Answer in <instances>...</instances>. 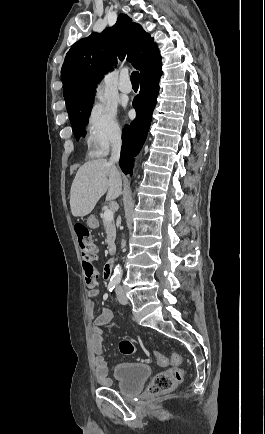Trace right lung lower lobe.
Here are the masks:
<instances>
[{
	"mask_svg": "<svg viewBox=\"0 0 265 434\" xmlns=\"http://www.w3.org/2000/svg\"><path fill=\"white\" fill-rule=\"evenodd\" d=\"M161 57L154 56L143 62L140 69L141 90L133 100L136 118L130 125L125 126L120 167L125 174H132L133 156L142 147L151 124L153 109L159 92L161 77Z\"/></svg>",
	"mask_w": 265,
	"mask_h": 434,
	"instance_id": "1",
	"label": "right lung lower lobe"
}]
</instances>
